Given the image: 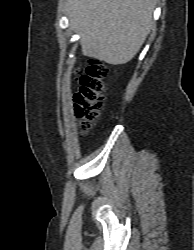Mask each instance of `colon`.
<instances>
[{
    "mask_svg": "<svg viewBox=\"0 0 194 250\" xmlns=\"http://www.w3.org/2000/svg\"><path fill=\"white\" fill-rule=\"evenodd\" d=\"M107 76L108 68L104 64L91 61L78 78L79 90L74 95V111L84 130L90 128L100 115Z\"/></svg>",
    "mask_w": 194,
    "mask_h": 250,
    "instance_id": "1",
    "label": "colon"
}]
</instances>
